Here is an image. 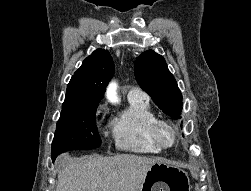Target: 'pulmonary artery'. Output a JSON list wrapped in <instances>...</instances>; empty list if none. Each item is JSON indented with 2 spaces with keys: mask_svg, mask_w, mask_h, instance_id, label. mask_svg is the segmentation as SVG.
Masks as SVG:
<instances>
[{
  "mask_svg": "<svg viewBox=\"0 0 251 191\" xmlns=\"http://www.w3.org/2000/svg\"><path fill=\"white\" fill-rule=\"evenodd\" d=\"M139 96H141V94H140V92H139L138 90H136V89H130V90L128 91V94H127V97H128V98H136V97H139ZM145 97L148 98L149 101H150V98H149V97H147V96H145Z\"/></svg>",
  "mask_w": 251,
  "mask_h": 191,
  "instance_id": "obj_1",
  "label": "pulmonary artery"
}]
</instances>
